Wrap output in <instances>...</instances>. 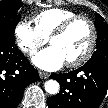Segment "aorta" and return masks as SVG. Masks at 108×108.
<instances>
[{
    "mask_svg": "<svg viewBox=\"0 0 108 108\" xmlns=\"http://www.w3.org/2000/svg\"><path fill=\"white\" fill-rule=\"evenodd\" d=\"M59 83L55 80H48L45 83V90L49 94H57L59 92Z\"/></svg>",
    "mask_w": 108,
    "mask_h": 108,
    "instance_id": "762f6f07",
    "label": "aorta"
}]
</instances>
